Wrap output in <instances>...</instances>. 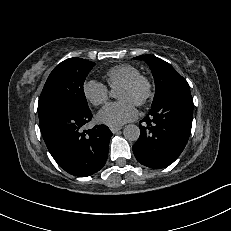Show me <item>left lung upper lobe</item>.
Wrapping results in <instances>:
<instances>
[{
    "label": "left lung upper lobe",
    "mask_w": 231,
    "mask_h": 231,
    "mask_svg": "<svg viewBox=\"0 0 231 231\" xmlns=\"http://www.w3.org/2000/svg\"><path fill=\"white\" fill-rule=\"evenodd\" d=\"M134 59L146 61L152 71L156 85L152 107L171 93L190 91L187 81L166 61L152 55H141Z\"/></svg>",
    "instance_id": "obj_1"
}]
</instances>
